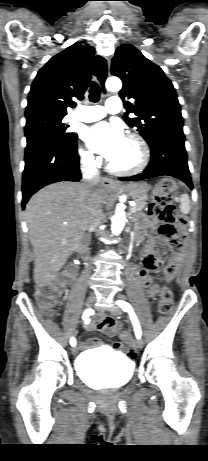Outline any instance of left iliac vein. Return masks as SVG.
Wrapping results in <instances>:
<instances>
[{"label": "left iliac vein", "mask_w": 208, "mask_h": 461, "mask_svg": "<svg viewBox=\"0 0 208 461\" xmlns=\"http://www.w3.org/2000/svg\"><path fill=\"white\" fill-rule=\"evenodd\" d=\"M111 313L115 316L121 315L122 311L118 306H112L111 307ZM143 347V341L142 339H137L136 340V348L141 349Z\"/></svg>", "instance_id": "1"}]
</instances>
